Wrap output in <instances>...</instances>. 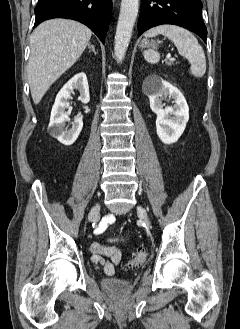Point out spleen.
Instances as JSON below:
<instances>
[{"instance_id":"obj_1","label":"spleen","mask_w":240,"mask_h":329,"mask_svg":"<svg viewBox=\"0 0 240 329\" xmlns=\"http://www.w3.org/2000/svg\"><path fill=\"white\" fill-rule=\"evenodd\" d=\"M164 35L176 46L179 54L185 57L190 63V73L195 77H202L206 72V58L203 48L194 35L188 30L175 25H160L149 29L145 37ZM144 58L147 62L155 64L160 60L158 52L153 50L144 51Z\"/></svg>"}]
</instances>
